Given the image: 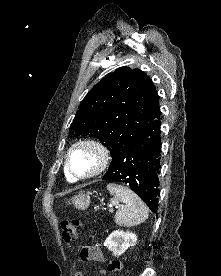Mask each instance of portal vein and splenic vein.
<instances>
[{
	"mask_svg": "<svg viewBox=\"0 0 221 276\" xmlns=\"http://www.w3.org/2000/svg\"><path fill=\"white\" fill-rule=\"evenodd\" d=\"M118 207H119V206H116V208H118ZM109 211H110L111 213L114 212L112 205H110Z\"/></svg>",
	"mask_w": 221,
	"mask_h": 276,
	"instance_id": "obj_1",
	"label": "portal vein and splenic vein"
}]
</instances>
